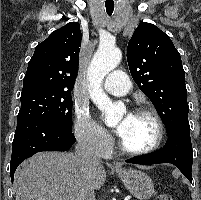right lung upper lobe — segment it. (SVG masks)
<instances>
[{
    "instance_id": "obj_1",
    "label": "right lung upper lobe",
    "mask_w": 201,
    "mask_h": 200,
    "mask_svg": "<svg viewBox=\"0 0 201 200\" xmlns=\"http://www.w3.org/2000/svg\"><path fill=\"white\" fill-rule=\"evenodd\" d=\"M81 40L79 23L70 22L38 44L28 63L22 92H71L78 70Z\"/></svg>"
}]
</instances>
